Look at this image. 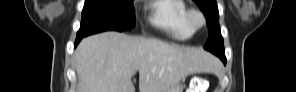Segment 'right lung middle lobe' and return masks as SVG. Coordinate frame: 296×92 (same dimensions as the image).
<instances>
[{"instance_id": "dd1d6c3e", "label": "right lung middle lobe", "mask_w": 296, "mask_h": 92, "mask_svg": "<svg viewBox=\"0 0 296 92\" xmlns=\"http://www.w3.org/2000/svg\"><path fill=\"white\" fill-rule=\"evenodd\" d=\"M135 27L133 0H86L78 38L106 31H126Z\"/></svg>"}]
</instances>
